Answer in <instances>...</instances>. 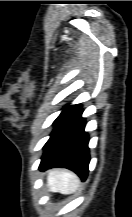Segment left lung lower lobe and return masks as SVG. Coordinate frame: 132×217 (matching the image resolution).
<instances>
[{
    "mask_svg": "<svg viewBox=\"0 0 132 217\" xmlns=\"http://www.w3.org/2000/svg\"><path fill=\"white\" fill-rule=\"evenodd\" d=\"M82 112L80 104L69 106L55 120L54 130L43 147L40 170L64 167L74 171L83 181L86 179L90 156Z\"/></svg>",
    "mask_w": 132,
    "mask_h": 217,
    "instance_id": "0a47b994",
    "label": "left lung lower lobe"
}]
</instances>
